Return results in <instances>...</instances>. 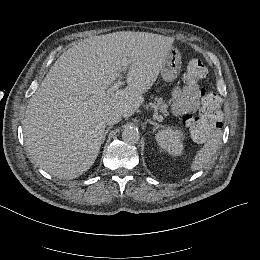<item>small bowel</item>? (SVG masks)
I'll use <instances>...</instances> for the list:
<instances>
[{
	"mask_svg": "<svg viewBox=\"0 0 260 260\" xmlns=\"http://www.w3.org/2000/svg\"><path fill=\"white\" fill-rule=\"evenodd\" d=\"M172 112L175 115L195 113L205 108L208 92L195 84L185 87H175L171 92Z\"/></svg>",
	"mask_w": 260,
	"mask_h": 260,
	"instance_id": "c3829d8e",
	"label": "small bowel"
}]
</instances>
